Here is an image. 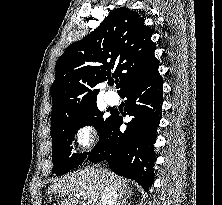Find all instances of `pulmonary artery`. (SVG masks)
Returning <instances> with one entry per match:
<instances>
[{
	"instance_id": "obj_1",
	"label": "pulmonary artery",
	"mask_w": 222,
	"mask_h": 205,
	"mask_svg": "<svg viewBox=\"0 0 222 205\" xmlns=\"http://www.w3.org/2000/svg\"><path fill=\"white\" fill-rule=\"evenodd\" d=\"M105 100L108 104L114 105L117 102V95L113 92L105 93Z\"/></svg>"
}]
</instances>
